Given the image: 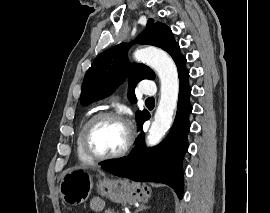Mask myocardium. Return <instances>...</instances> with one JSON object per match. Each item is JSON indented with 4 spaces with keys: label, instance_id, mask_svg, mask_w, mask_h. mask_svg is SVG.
I'll return each mask as SVG.
<instances>
[{
    "label": "myocardium",
    "instance_id": "1",
    "mask_svg": "<svg viewBox=\"0 0 270 213\" xmlns=\"http://www.w3.org/2000/svg\"><path fill=\"white\" fill-rule=\"evenodd\" d=\"M106 119H115L124 123L127 127V141L125 146L118 152L109 155H100L95 153L90 146V135L95 126ZM134 142L133 129L128 120L118 112L115 111H103L93 115L86 123L82 132V148L84 153L93 161H108L115 160L125 156L131 149Z\"/></svg>",
    "mask_w": 270,
    "mask_h": 213
}]
</instances>
